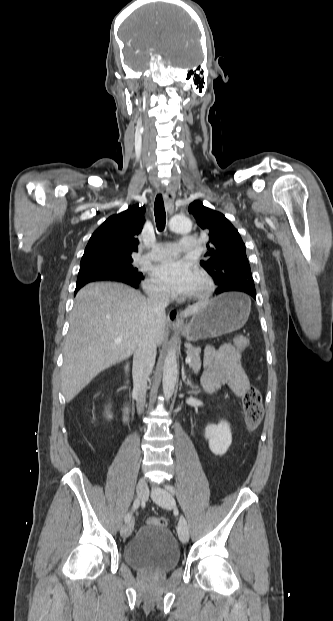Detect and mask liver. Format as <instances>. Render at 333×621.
<instances>
[{"instance_id":"obj_1","label":"liver","mask_w":333,"mask_h":621,"mask_svg":"<svg viewBox=\"0 0 333 621\" xmlns=\"http://www.w3.org/2000/svg\"><path fill=\"white\" fill-rule=\"evenodd\" d=\"M205 302L189 306L183 316L194 315ZM166 326V316L150 315L147 299L126 285L91 283L79 290L64 341L61 380L66 402L101 371L129 358L144 333H150L160 346Z\"/></svg>"}]
</instances>
